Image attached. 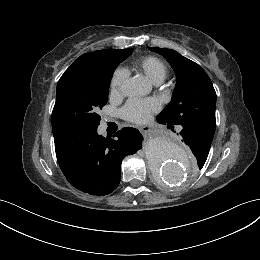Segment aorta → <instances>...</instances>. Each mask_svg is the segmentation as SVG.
<instances>
[{"label":"aorta","instance_id":"762f6f07","mask_svg":"<svg viewBox=\"0 0 260 260\" xmlns=\"http://www.w3.org/2000/svg\"><path fill=\"white\" fill-rule=\"evenodd\" d=\"M122 91L129 97L142 96L150 87L140 78L128 79ZM145 155L155 178L167 185L182 182L192 172V161L185 148L168 136L150 138L145 145Z\"/></svg>","mask_w":260,"mask_h":260}]
</instances>
